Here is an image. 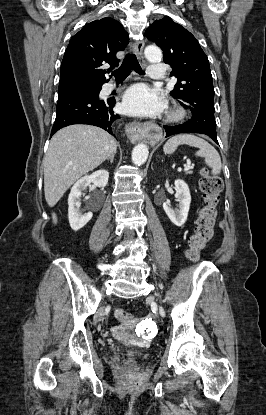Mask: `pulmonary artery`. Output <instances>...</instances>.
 Returning <instances> with one entry per match:
<instances>
[{
  "label": "pulmonary artery",
  "mask_w": 266,
  "mask_h": 415,
  "mask_svg": "<svg viewBox=\"0 0 266 415\" xmlns=\"http://www.w3.org/2000/svg\"><path fill=\"white\" fill-rule=\"evenodd\" d=\"M148 76L153 80H162L165 77V68L160 63L151 64L148 68ZM114 85H109L108 90H112Z\"/></svg>",
  "instance_id": "obj_1"
}]
</instances>
